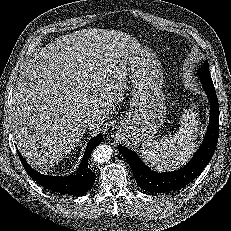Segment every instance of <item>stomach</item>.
<instances>
[{
  "instance_id": "obj_1",
  "label": "stomach",
  "mask_w": 231,
  "mask_h": 231,
  "mask_svg": "<svg viewBox=\"0 0 231 231\" xmlns=\"http://www.w3.org/2000/svg\"><path fill=\"white\" fill-rule=\"evenodd\" d=\"M130 109L119 122L118 133L133 147L146 146L166 118L163 71L155 52L141 50L129 59Z\"/></svg>"
}]
</instances>
